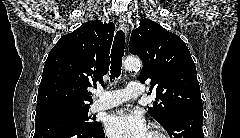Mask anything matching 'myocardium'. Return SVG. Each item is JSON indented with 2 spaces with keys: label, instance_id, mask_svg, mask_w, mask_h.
<instances>
[{
  "label": "myocardium",
  "instance_id": "f54148a6",
  "mask_svg": "<svg viewBox=\"0 0 240 138\" xmlns=\"http://www.w3.org/2000/svg\"><path fill=\"white\" fill-rule=\"evenodd\" d=\"M152 133L157 137V138H167V136H166V134L163 132V131H161V130H159V129H153L152 130Z\"/></svg>",
  "mask_w": 240,
  "mask_h": 138
}]
</instances>
